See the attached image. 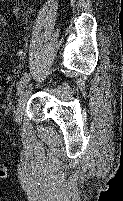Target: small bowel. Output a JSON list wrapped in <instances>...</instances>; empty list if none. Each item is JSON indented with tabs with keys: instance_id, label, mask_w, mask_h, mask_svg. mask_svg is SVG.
Returning <instances> with one entry per match:
<instances>
[{
	"instance_id": "obj_1",
	"label": "small bowel",
	"mask_w": 123,
	"mask_h": 201,
	"mask_svg": "<svg viewBox=\"0 0 123 201\" xmlns=\"http://www.w3.org/2000/svg\"><path fill=\"white\" fill-rule=\"evenodd\" d=\"M16 54H17V58H18L19 60L22 61V60H25V59H26L27 53H26V51H25L21 46H18V47H17ZM0 55H1V50H0ZM21 69H22V66L19 64V65L15 66L13 72H14V73H18V72L21 71Z\"/></svg>"
}]
</instances>
